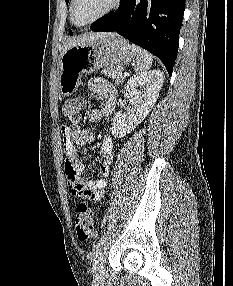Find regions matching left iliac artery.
I'll return each instance as SVG.
<instances>
[{"mask_svg": "<svg viewBox=\"0 0 233 286\" xmlns=\"http://www.w3.org/2000/svg\"><path fill=\"white\" fill-rule=\"evenodd\" d=\"M103 244H104V239L101 238V239L94 245V253H95L96 255L100 252V250H101Z\"/></svg>", "mask_w": 233, "mask_h": 286, "instance_id": "obj_1", "label": "left iliac artery"}]
</instances>
